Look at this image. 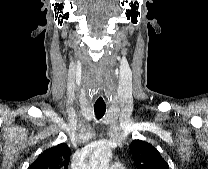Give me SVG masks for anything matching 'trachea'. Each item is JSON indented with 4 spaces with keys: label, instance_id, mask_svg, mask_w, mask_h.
<instances>
[{
    "label": "trachea",
    "instance_id": "trachea-1",
    "mask_svg": "<svg viewBox=\"0 0 208 169\" xmlns=\"http://www.w3.org/2000/svg\"><path fill=\"white\" fill-rule=\"evenodd\" d=\"M95 116L100 119L104 116L106 112V105H94Z\"/></svg>",
    "mask_w": 208,
    "mask_h": 169
}]
</instances>
